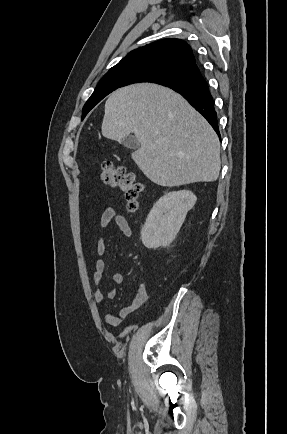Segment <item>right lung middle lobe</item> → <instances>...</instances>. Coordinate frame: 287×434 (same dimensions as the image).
I'll return each instance as SVG.
<instances>
[{
	"label": "right lung middle lobe",
	"mask_w": 287,
	"mask_h": 434,
	"mask_svg": "<svg viewBox=\"0 0 287 434\" xmlns=\"http://www.w3.org/2000/svg\"><path fill=\"white\" fill-rule=\"evenodd\" d=\"M178 80H180L179 75L158 69H143L134 72L118 73L103 77L95 88L93 94L85 103L82 111V119L105 96L120 87L142 82L160 84L166 81Z\"/></svg>",
	"instance_id": "obj_1"
}]
</instances>
